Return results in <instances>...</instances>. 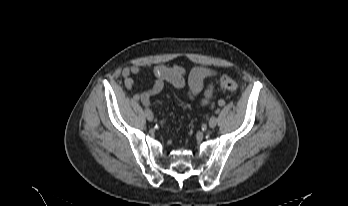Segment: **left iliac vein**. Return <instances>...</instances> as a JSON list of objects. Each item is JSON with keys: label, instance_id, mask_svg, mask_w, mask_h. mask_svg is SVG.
<instances>
[{"label": "left iliac vein", "instance_id": "1", "mask_svg": "<svg viewBox=\"0 0 348 206\" xmlns=\"http://www.w3.org/2000/svg\"><path fill=\"white\" fill-rule=\"evenodd\" d=\"M217 122L218 119L215 116L211 117L209 120V127L214 128L217 125Z\"/></svg>", "mask_w": 348, "mask_h": 206}]
</instances>
